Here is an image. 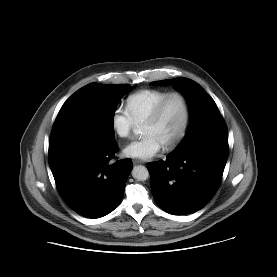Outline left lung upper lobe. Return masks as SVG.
Returning <instances> with one entry per match:
<instances>
[{
	"mask_svg": "<svg viewBox=\"0 0 277 277\" xmlns=\"http://www.w3.org/2000/svg\"><path fill=\"white\" fill-rule=\"evenodd\" d=\"M166 85L171 83L187 98L190 106V125L185 137L173 152L182 150L199 133L225 125L217 105L209 94L195 81L188 78H175L152 82Z\"/></svg>",
	"mask_w": 277,
	"mask_h": 277,
	"instance_id": "1",
	"label": "left lung upper lobe"
}]
</instances>
